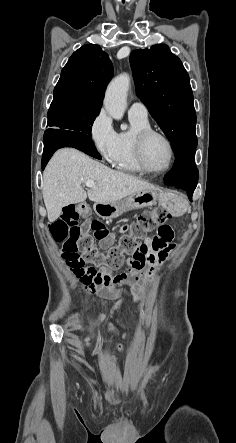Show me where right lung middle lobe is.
Masks as SVG:
<instances>
[{
  "label": "right lung middle lobe",
  "mask_w": 236,
  "mask_h": 443,
  "mask_svg": "<svg viewBox=\"0 0 236 443\" xmlns=\"http://www.w3.org/2000/svg\"><path fill=\"white\" fill-rule=\"evenodd\" d=\"M99 111L67 103L51 105L48 110V126L51 128L45 132H59L92 141L91 128Z\"/></svg>",
  "instance_id": "obj_1"
}]
</instances>
